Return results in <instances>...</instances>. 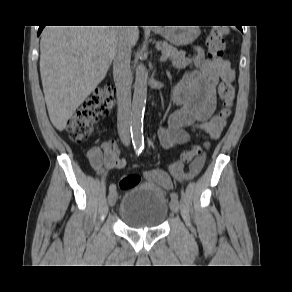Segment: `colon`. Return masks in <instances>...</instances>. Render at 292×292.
<instances>
[{"instance_id": "5ec220e1", "label": "colon", "mask_w": 292, "mask_h": 292, "mask_svg": "<svg viewBox=\"0 0 292 292\" xmlns=\"http://www.w3.org/2000/svg\"><path fill=\"white\" fill-rule=\"evenodd\" d=\"M226 25L215 26L206 40L210 58L221 59L225 50ZM218 94L223 107L220 110L221 118H228L232 112L235 101V90L231 83L222 81L218 86ZM113 107V87L106 84L95 91L84 101L76 114L67 123V131L75 143L86 141L93 133L98 120L106 116ZM202 149L194 145L191 149L181 154V164L193 161L200 156ZM140 177L137 174H127L122 177L119 187L127 190L138 185Z\"/></svg>"}]
</instances>
